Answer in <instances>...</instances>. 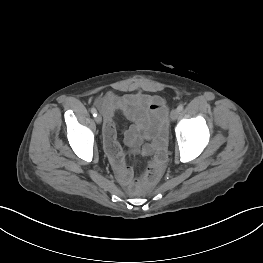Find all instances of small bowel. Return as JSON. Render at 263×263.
Listing matches in <instances>:
<instances>
[{
	"mask_svg": "<svg viewBox=\"0 0 263 263\" xmlns=\"http://www.w3.org/2000/svg\"><path fill=\"white\" fill-rule=\"evenodd\" d=\"M95 104L104 116L103 135L106 153L119 181L124 186H131L133 172L126 165L125 153L117 141L114 123L116 112H122L129 120L135 122L125 134L126 143L134 152L139 151L152 156L149 166L162 168L167 158L165 151L167 109L161 97L141 93L118 95L108 92L99 97ZM138 106H144L146 110L136 109ZM140 130L143 131V136L139 134Z\"/></svg>",
	"mask_w": 263,
	"mask_h": 263,
	"instance_id": "obj_1",
	"label": "small bowel"
}]
</instances>
